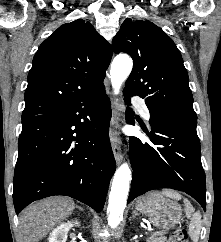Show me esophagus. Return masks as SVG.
<instances>
[{
	"label": "esophagus",
	"mask_w": 221,
	"mask_h": 242,
	"mask_svg": "<svg viewBox=\"0 0 221 242\" xmlns=\"http://www.w3.org/2000/svg\"><path fill=\"white\" fill-rule=\"evenodd\" d=\"M118 128H119L118 117L116 116V113L114 111L111 118L109 137H110V142H111L112 150H113L117 165H119L123 159V155L121 152V140L119 137Z\"/></svg>",
	"instance_id": "esophagus-1"
}]
</instances>
